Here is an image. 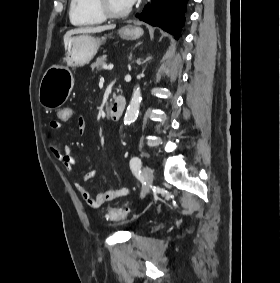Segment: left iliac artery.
Here are the masks:
<instances>
[{"label":"left iliac artery","mask_w":280,"mask_h":283,"mask_svg":"<svg viewBox=\"0 0 280 283\" xmlns=\"http://www.w3.org/2000/svg\"><path fill=\"white\" fill-rule=\"evenodd\" d=\"M130 168L135 174H139L141 172V159L138 157H133L130 160Z\"/></svg>","instance_id":"44dca946"}]
</instances>
